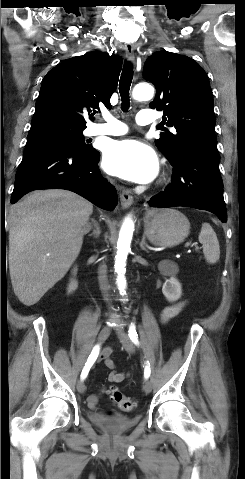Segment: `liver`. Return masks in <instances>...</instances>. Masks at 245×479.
Here are the masks:
<instances>
[{"mask_svg": "<svg viewBox=\"0 0 245 479\" xmlns=\"http://www.w3.org/2000/svg\"><path fill=\"white\" fill-rule=\"evenodd\" d=\"M93 205L77 194L34 191L11 208L9 270L15 295L36 304L78 257Z\"/></svg>", "mask_w": 245, "mask_h": 479, "instance_id": "obj_1", "label": "liver"}]
</instances>
